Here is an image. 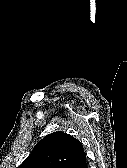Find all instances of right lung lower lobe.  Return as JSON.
Listing matches in <instances>:
<instances>
[{
  "instance_id": "98d812e1",
  "label": "right lung lower lobe",
  "mask_w": 127,
  "mask_h": 168,
  "mask_svg": "<svg viewBox=\"0 0 127 168\" xmlns=\"http://www.w3.org/2000/svg\"><path fill=\"white\" fill-rule=\"evenodd\" d=\"M79 168H88L86 162H84L83 164H81V165L79 166Z\"/></svg>"
}]
</instances>
